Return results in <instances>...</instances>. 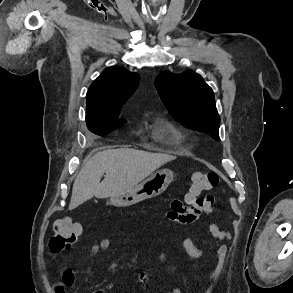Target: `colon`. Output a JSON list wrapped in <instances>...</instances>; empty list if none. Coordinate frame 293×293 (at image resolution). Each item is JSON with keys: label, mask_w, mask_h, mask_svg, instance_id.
Masks as SVG:
<instances>
[{"label": "colon", "mask_w": 293, "mask_h": 293, "mask_svg": "<svg viewBox=\"0 0 293 293\" xmlns=\"http://www.w3.org/2000/svg\"><path fill=\"white\" fill-rule=\"evenodd\" d=\"M219 182V176L212 171H197L192 174L189 191L186 197L188 204L200 202L199 196L214 188ZM81 226L69 218L57 219L53 224V235L49 240V252L60 254L71 246L80 236Z\"/></svg>", "instance_id": "1"}]
</instances>
